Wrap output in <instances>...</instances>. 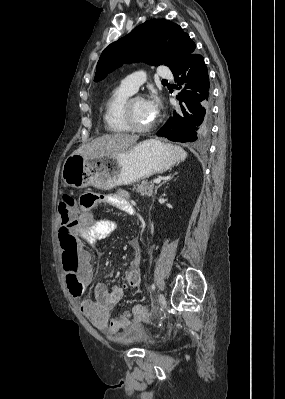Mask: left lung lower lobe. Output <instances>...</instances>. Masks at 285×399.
<instances>
[{"label": "left lung lower lobe", "instance_id": "obj_1", "mask_svg": "<svg viewBox=\"0 0 285 399\" xmlns=\"http://www.w3.org/2000/svg\"><path fill=\"white\" fill-rule=\"evenodd\" d=\"M173 75L181 89L178 99L182 102L183 117L175 112L173 119L157 132L175 142L203 140L208 133L211 118V92L209 76L203 56L196 52L184 58ZM176 123V128L171 126Z\"/></svg>", "mask_w": 285, "mask_h": 399}]
</instances>
